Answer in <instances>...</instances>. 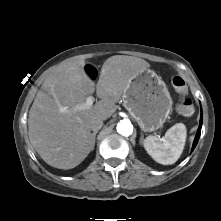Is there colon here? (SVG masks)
I'll return each mask as SVG.
<instances>
[{
	"label": "colon",
	"mask_w": 221,
	"mask_h": 221,
	"mask_svg": "<svg viewBox=\"0 0 221 221\" xmlns=\"http://www.w3.org/2000/svg\"><path fill=\"white\" fill-rule=\"evenodd\" d=\"M84 72L88 79L94 80L97 78L98 73L94 69L93 66L88 65L85 67ZM172 86L174 90L179 94H184L187 90L186 83L184 79L180 76H175L172 78ZM178 112L185 117H189L194 113V106L190 99H185L182 103L178 106Z\"/></svg>",
	"instance_id": "obj_1"
}]
</instances>
